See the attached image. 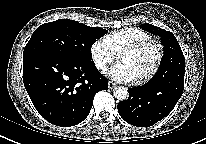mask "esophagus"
<instances>
[{
	"label": "esophagus",
	"mask_w": 206,
	"mask_h": 144,
	"mask_svg": "<svg viewBox=\"0 0 206 144\" xmlns=\"http://www.w3.org/2000/svg\"><path fill=\"white\" fill-rule=\"evenodd\" d=\"M114 87H116V84L114 82H112V81H109L108 82V88L109 89H113Z\"/></svg>",
	"instance_id": "34e87169"
}]
</instances>
